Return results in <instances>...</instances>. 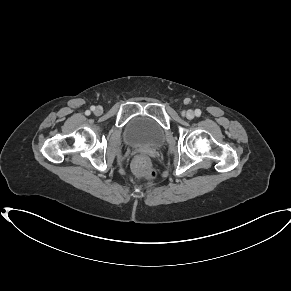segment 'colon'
I'll return each mask as SVG.
<instances>
[{
  "instance_id": "obj_1",
  "label": "colon",
  "mask_w": 291,
  "mask_h": 291,
  "mask_svg": "<svg viewBox=\"0 0 291 291\" xmlns=\"http://www.w3.org/2000/svg\"><path fill=\"white\" fill-rule=\"evenodd\" d=\"M133 168L135 172L141 176L153 179L156 176L155 170L150 165L148 159L143 156H138L134 160Z\"/></svg>"
}]
</instances>
